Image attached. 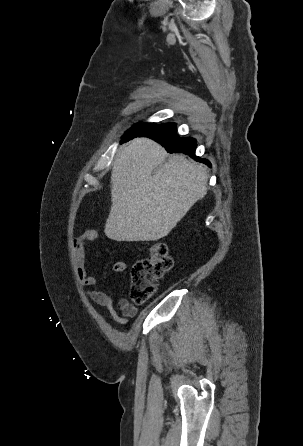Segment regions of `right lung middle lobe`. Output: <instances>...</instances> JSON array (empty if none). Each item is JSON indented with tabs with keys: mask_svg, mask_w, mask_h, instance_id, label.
Segmentation results:
<instances>
[{
	"mask_svg": "<svg viewBox=\"0 0 303 446\" xmlns=\"http://www.w3.org/2000/svg\"><path fill=\"white\" fill-rule=\"evenodd\" d=\"M156 123H144L142 125H135L133 126L130 130L127 131V133H125L122 142L128 141L136 136H138L139 134H142L143 132H145L146 130H148L149 128H151L152 126H154Z\"/></svg>",
	"mask_w": 303,
	"mask_h": 446,
	"instance_id": "obj_1",
	"label": "right lung middle lobe"
}]
</instances>
